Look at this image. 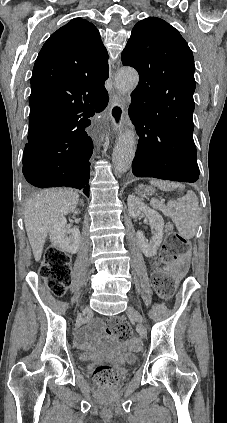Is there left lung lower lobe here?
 Segmentation results:
<instances>
[{"label": "left lung lower lobe", "mask_w": 227, "mask_h": 423, "mask_svg": "<svg viewBox=\"0 0 227 423\" xmlns=\"http://www.w3.org/2000/svg\"><path fill=\"white\" fill-rule=\"evenodd\" d=\"M192 114L130 106L129 115L140 137L132 163L135 176L180 182L198 179Z\"/></svg>", "instance_id": "0a47b994"}]
</instances>
